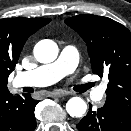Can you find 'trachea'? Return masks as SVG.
<instances>
[{"instance_id": "trachea-1", "label": "trachea", "mask_w": 131, "mask_h": 131, "mask_svg": "<svg viewBox=\"0 0 131 131\" xmlns=\"http://www.w3.org/2000/svg\"><path fill=\"white\" fill-rule=\"evenodd\" d=\"M92 86H94V83H88V84L83 85L82 87L84 88V90H86L88 88H91Z\"/></svg>"}]
</instances>
